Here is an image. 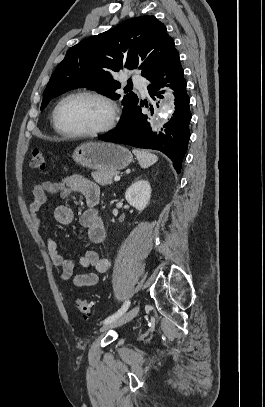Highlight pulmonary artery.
Instances as JSON below:
<instances>
[{
  "mask_svg": "<svg viewBox=\"0 0 265 407\" xmlns=\"http://www.w3.org/2000/svg\"><path fill=\"white\" fill-rule=\"evenodd\" d=\"M131 79H132V82H133L136 86H138V87L140 88V90H141V92H142L143 94H146V93H147L146 84H145V79H144L141 75L134 74Z\"/></svg>",
  "mask_w": 265,
  "mask_h": 407,
  "instance_id": "pulmonary-artery-1",
  "label": "pulmonary artery"
}]
</instances>
